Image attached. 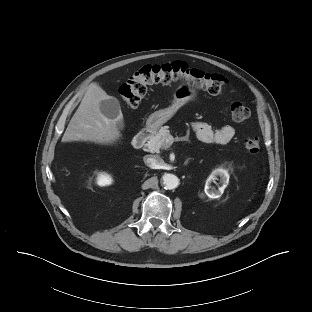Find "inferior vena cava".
<instances>
[{
    "mask_svg": "<svg viewBox=\"0 0 312 312\" xmlns=\"http://www.w3.org/2000/svg\"><path fill=\"white\" fill-rule=\"evenodd\" d=\"M143 160L144 163L152 169H160L161 166L164 164L163 159L159 156L146 155L144 156Z\"/></svg>",
    "mask_w": 312,
    "mask_h": 312,
    "instance_id": "obj_1",
    "label": "inferior vena cava"
}]
</instances>
